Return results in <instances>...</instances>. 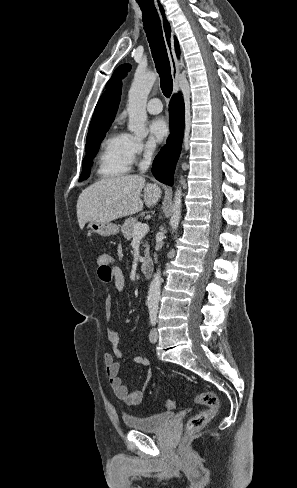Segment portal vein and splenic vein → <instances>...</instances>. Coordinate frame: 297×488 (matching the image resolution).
<instances>
[{"label":"portal vein and splenic vein","mask_w":297,"mask_h":488,"mask_svg":"<svg viewBox=\"0 0 297 488\" xmlns=\"http://www.w3.org/2000/svg\"><path fill=\"white\" fill-rule=\"evenodd\" d=\"M149 230L148 224L138 222L134 225L133 239L138 240L142 238Z\"/></svg>","instance_id":"1"}]
</instances>
